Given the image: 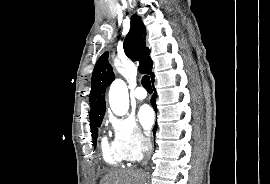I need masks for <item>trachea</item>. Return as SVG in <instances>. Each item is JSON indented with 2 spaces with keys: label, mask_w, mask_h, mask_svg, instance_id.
<instances>
[{
  "label": "trachea",
  "mask_w": 270,
  "mask_h": 184,
  "mask_svg": "<svg viewBox=\"0 0 270 184\" xmlns=\"http://www.w3.org/2000/svg\"><path fill=\"white\" fill-rule=\"evenodd\" d=\"M142 85L147 91H152L151 81L148 75L143 76Z\"/></svg>",
  "instance_id": "obj_1"
}]
</instances>
